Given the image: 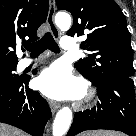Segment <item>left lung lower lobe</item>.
Wrapping results in <instances>:
<instances>
[{
  "mask_svg": "<svg viewBox=\"0 0 136 136\" xmlns=\"http://www.w3.org/2000/svg\"><path fill=\"white\" fill-rule=\"evenodd\" d=\"M89 80L97 87L100 102L91 110L75 114L67 136L95 129L116 130L136 136V102L132 78L112 77L101 82Z\"/></svg>",
  "mask_w": 136,
  "mask_h": 136,
  "instance_id": "0a47b994",
  "label": "left lung lower lobe"
}]
</instances>
